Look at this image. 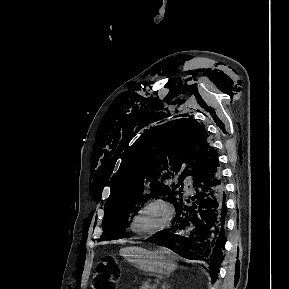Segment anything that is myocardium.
<instances>
[{"instance_id":"f54148a6","label":"myocardium","mask_w":289,"mask_h":289,"mask_svg":"<svg viewBox=\"0 0 289 289\" xmlns=\"http://www.w3.org/2000/svg\"><path fill=\"white\" fill-rule=\"evenodd\" d=\"M153 206L161 207L165 211L166 218H165L164 223L161 226H159L155 229H152L150 231L138 230L136 228V222H137L138 218L141 216V214L145 210H147L148 208L153 207ZM173 218H174V208L171 205V203L168 202L167 200L163 199V198H154V199H151V200L147 201L146 203H144L139 208V210L136 212V214L134 215L132 222H131V230L138 235L151 236V235H154L158 232H161V231L169 228L172 221H173Z\"/></svg>"}]
</instances>
